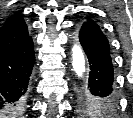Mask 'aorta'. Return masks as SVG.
<instances>
[{
    "label": "aorta",
    "instance_id": "aorta-1",
    "mask_svg": "<svg viewBox=\"0 0 133 118\" xmlns=\"http://www.w3.org/2000/svg\"><path fill=\"white\" fill-rule=\"evenodd\" d=\"M72 67L75 76L82 80L86 74V61L82 48L78 44L72 47Z\"/></svg>",
    "mask_w": 133,
    "mask_h": 118
}]
</instances>
